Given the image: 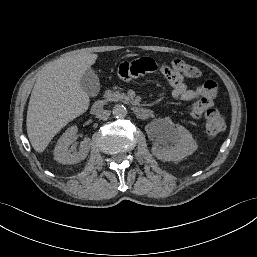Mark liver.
<instances>
[{"mask_svg":"<svg viewBox=\"0 0 257 257\" xmlns=\"http://www.w3.org/2000/svg\"><path fill=\"white\" fill-rule=\"evenodd\" d=\"M97 58L93 53L59 58L38 76L26 119L28 138L35 151L43 152L64 126L88 109L89 96L80 80Z\"/></svg>","mask_w":257,"mask_h":257,"instance_id":"1","label":"liver"}]
</instances>
